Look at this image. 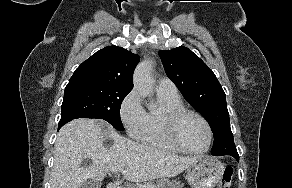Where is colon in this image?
Returning <instances> with one entry per match:
<instances>
[{
	"label": "colon",
	"instance_id": "5ec220e1",
	"mask_svg": "<svg viewBox=\"0 0 292 188\" xmlns=\"http://www.w3.org/2000/svg\"><path fill=\"white\" fill-rule=\"evenodd\" d=\"M233 168L232 167H226L223 170L222 177L220 184L218 188H230L232 185V180H233Z\"/></svg>",
	"mask_w": 292,
	"mask_h": 188
}]
</instances>
